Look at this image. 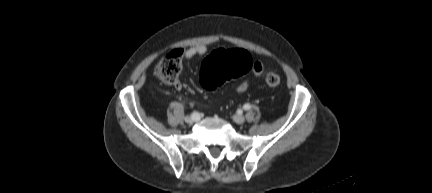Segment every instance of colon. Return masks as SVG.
Segmentation results:
<instances>
[{
    "label": "colon",
    "mask_w": 432,
    "mask_h": 193,
    "mask_svg": "<svg viewBox=\"0 0 432 193\" xmlns=\"http://www.w3.org/2000/svg\"><path fill=\"white\" fill-rule=\"evenodd\" d=\"M253 66L250 55L241 49L214 51L202 64L200 81L204 88L214 89L223 81L249 73ZM182 69L181 52L174 50L160 59L155 68L156 76L166 84L177 82ZM270 87L281 83L278 73L270 71L265 76Z\"/></svg>",
    "instance_id": "obj_1"
}]
</instances>
